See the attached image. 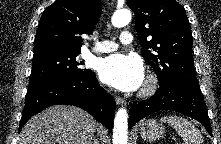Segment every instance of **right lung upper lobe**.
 <instances>
[{
  "instance_id": "cb5924a9",
  "label": "right lung upper lobe",
  "mask_w": 221,
  "mask_h": 144,
  "mask_svg": "<svg viewBox=\"0 0 221 144\" xmlns=\"http://www.w3.org/2000/svg\"><path fill=\"white\" fill-rule=\"evenodd\" d=\"M101 14V0H56L40 19L34 53L46 50L80 52L83 34L92 33Z\"/></svg>"
}]
</instances>
